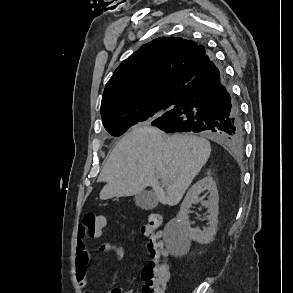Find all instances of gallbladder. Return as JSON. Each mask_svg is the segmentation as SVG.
I'll return each mask as SVG.
<instances>
[{"instance_id": "bac80fb5", "label": "gallbladder", "mask_w": 293, "mask_h": 293, "mask_svg": "<svg viewBox=\"0 0 293 293\" xmlns=\"http://www.w3.org/2000/svg\"><path fill=\"white\" fill-rule=\"evenodd\" d=\"M135 204L143 210H151L158 205V198L151 191H143L135 196Z\"/></svg>"}]
</instances>
